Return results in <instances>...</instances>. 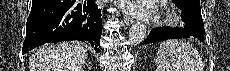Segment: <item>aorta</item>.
<instances>
[{
  "label": "aorta",
  "instance_id": "obj_1",
  "mask_svg": "<svg viewBox=\"0 0 230 71\" xmlns=\"http://www.w3.org/2000/svg\"><path fill=\"white\" fill-rule=\"evenodd\" d=\"M147 36V29L146 26L141 23H136L132 25L130 31H129V41L132 44L138 45Z\"/></svg>",
  "mask_w": 230,
  "mask_h": 71
}]
</instances>
